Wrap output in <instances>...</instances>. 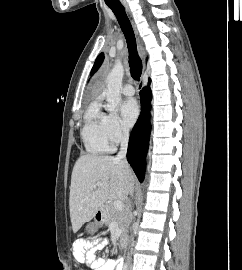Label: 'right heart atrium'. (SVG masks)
Listing matches in <instances>:
<instances>
[{
    "label": "right heart atrium",
    "mask_w": 242,
    "mask_h": 270,
    "mask_svg": "<svg viewBox=\"0 0 242 270\" xmlns=\"http://www.w3.org/2000/svg\"><path fill=\"white\" fill-rule=\"evenodd\" d=\"M107 131L113 144L122 142L128 136L127 127L115 114H110L107 116Z\"/></svg>",
    "instance_id": "1"
}]
</instances>
